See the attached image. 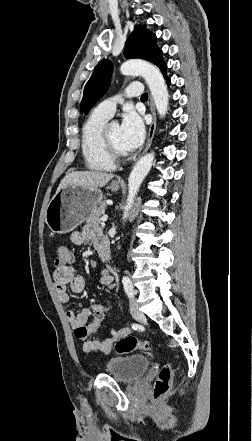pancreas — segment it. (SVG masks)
I'll list each match as a JSON object with an SVG mask.
<instances>
[{"instance_id":"obj_1","label":"pancreas","mask_w":252,"mask_h":441,"mask_svg":"<svg viewBox=\"0 0 252 441\" xmlns=\"http://www.w3.org/2000/svg\"><path fill=\"white\" fill-rule=\"evenodd\" d=\"M106 205L104 203H100L98 207H96L91 214L86 218L87 223L98 224L100 223V218L104 214Z\"/></svg>"}]
</instances>
